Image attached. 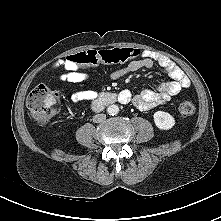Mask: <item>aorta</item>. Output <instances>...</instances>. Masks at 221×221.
<instances>
[{
	"mask_svg": "<svg viewBox=\"0 0 221 221\" xmlns=\"http://www.w3.org/2000/svg\"><path fill=\"white\" fill-rule=\"evenodd\" d=\"M107 113H108L109 115H112V116L118 114V113H119V107H118V105H115V104L110 105V106L107 108Z\"/></svg>",
	"mask_w": 221,
	"mask_h": 221,
	"instance_id": "obj_1",
	"label": "aorta"
}]
</instances>
